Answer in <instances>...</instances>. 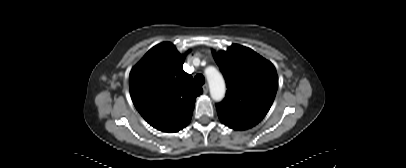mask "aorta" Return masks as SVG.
Returning a JSON list of instances; mask_svg holds the SVG:
<instances>
[{
	"label": "aorta",
	"instance_id": "obj_1",
	"mask_svg": "<svg viewBox=\"0 0 406 168\" xmlns=\"http://www.w3.org/2000/svg\"><path fill=\"white\" fill-rule=\"evenodd\" d=\"M210 88L211 98L218 102L225 96V81L221 73L214 67H209L205 71Z\"/></svg>",
	"mask_w": 406,
	"mask_h": 168
}]
</instances>
